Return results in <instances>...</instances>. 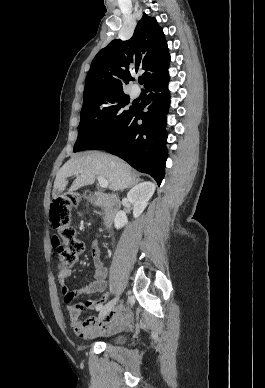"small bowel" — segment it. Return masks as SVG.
<instances>
[{"label":"small bowel","mask_w":265,"mask_h":388,"mask_svg":"<svg viewBox=\"0 0 265 388\" xmlns=\"http://www.w3.org/2000/svg\"><path fill=\"white\" fill-rule=\"evenodd\" d=\"M91 257L94 265V280L87 286L78 290L70 291L66 283V279L71 276V268H63L59 271V285L62 295L64 296L67 311L69 315L70 325L74 333L81 338H94L114 330L122 328L126 325L128 315L124 306H117L109 315L103 319L99 316H92L84 321H80L79 316L85 306L88 310H96L99 305H103L107 299V294L104 293L107 287L106 268L101 259V246L98 240H93L91 244ZM97 293H103L99 300H88L85 304H72L74 299L79 296H89ZM63 323L62 320L59 322Z\"/></svg>","instance_id":"obj_1"}]
</instances>
